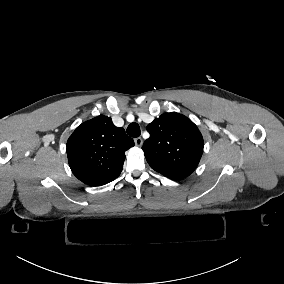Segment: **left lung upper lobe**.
<instances>
[{"instance_id": "1", "label": "left lung upper lobe", "mask_w": 284, "mask_h": 284, "mask_svg": "<svg viewBox=\"0 0 284 284\" xmlns=\"http://www.w3.org/2000/svg\"><path fill=\"white\" fill-rule=\"evenodd\" d=\"M147 131L150 138L142 149L152 169L173 180L183 179L196 169L204 141L189 118L165 113L148 124Z\"/></svg>"}]
</instances>
